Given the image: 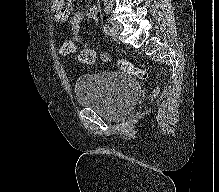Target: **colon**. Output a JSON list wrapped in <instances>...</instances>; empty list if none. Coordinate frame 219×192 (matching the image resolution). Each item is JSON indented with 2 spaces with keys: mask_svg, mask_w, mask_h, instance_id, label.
Returning a JSON list of instances; mask_svg holds the SVG:
<instances>
[{
  "mask_svg": "<svg viewBox=\"0 0 219 192\" xmlns=\"http://www.w3.org/2000/svg\"><path fill=\"white\" fill-rule=\"evenodd\" d=\"M76 46L74 42L68 41L62 45L61 51L63 54H71L75 51ZM97 59L96 51L93 47L87 46L85 47L79 54V60L83 64L92 65L95 63ZM105 60H111V57L107 55ZM116 64L118 67L126 74L134 76L140 80H145L148 78V72L144 69H141L131 62L118 58L116 59ZM160 93V88L156 87L153 91V96H157Z\"/></svg>",
  "mask_w": 219,
  "mask_h": 192,
  "instance_id": "colon-1",
  "label": "colon"
}]
</instances>
